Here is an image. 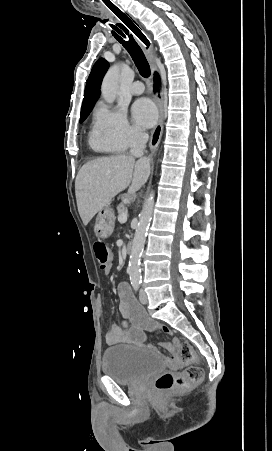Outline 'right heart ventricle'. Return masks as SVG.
Listing matches in <instances>:
<instances>
[{
	"label": "right heart ventricle",
	"instance_id": "obj_1",
	"mask_svg": "<svg viewBox=\"0 0 272 451\" xmlns=\"http://www.w3.org/2000/svg\"><path fill=\"white\" fill-rule=\"evenodd\" d=\"M91 144L94 148L102 152H112L117 148L113 144L101 140L95 132L91 133Z\"/></svg>",
	"mask_w": 272,
	"mask_h": 451
}]
</instances>
